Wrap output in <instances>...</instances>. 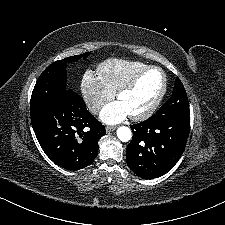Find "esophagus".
Returning <instances> with one entry per match:
<instances>
[{
	"instance_id": "1",
	"label": "esophagus",
	"mask_w": 225,
	"mask_h": 225,
	"mask_svg": "<svg viewBox=\"0 0 225 225\" xmlns=\"http://www.w3.org/2000/svg\"><path fill=\"white\" fill-rule=\"evenodd\" d=\"M116 126H107L106 127V132H113L114 130H116Z\"/></svg>"
}]
</instances>
